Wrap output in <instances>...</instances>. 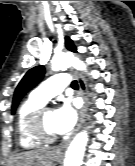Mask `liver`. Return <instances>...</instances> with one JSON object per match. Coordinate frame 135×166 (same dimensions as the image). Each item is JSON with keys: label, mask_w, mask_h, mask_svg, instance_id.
Listing matches in <instances>:
<instances>
[{"label": "liver", "mask_w": 135, "mask_h": 166, "mask_svg": "<svg viewBox=\"0 0 135 166\" xmlns=\"http://www.w3.org/2000/svg\"><path fill=\"white\" fill-rule=\"evenodd\" d=\"M51 151L42 148L37 150H31L23 152L19 155L13 156L11 161L16 163L17 166H30L36 162H40L43 165L50 166Z\"/></svg>", "instance_id": "obj_1"}]
</instances>
